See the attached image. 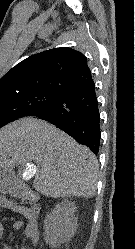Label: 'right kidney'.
I'll list each match as a JSON object with an SVG mask.
<instances>
[{
  "label": "right kidney",
  "instance_id": "ca27d5eb",
  "mask_svg": "<svg viewBox=\"0 0 135 249\" xmlns=\"http://www.w3.org/2000/svg\"><path fill=\"white\" fill-rule=\"evenodd\" d=\"M74 202L64 200L44 220V240L52 248L69 241L77 228Z\"/></svg>",
  "mask_w": 135,
  "mask_h": 249
}]
</instances>
